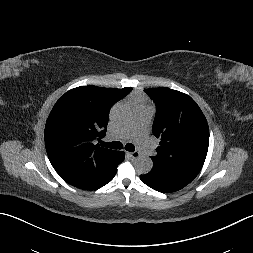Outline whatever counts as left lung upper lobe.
Masks as SVG:
<instances>
[{"label": "left lung upper lobe", "mask_w": 253, "mask_h": 253, "mask_svg": "<svg viewBox=\"0 0 253 253\" xmlns=\"http://www.w3.org/2000/svg\"><path fill=\"white\" fill-rule=\"evenodd\" d=\"M156 104L152 127L159 138L153 167L195 178L200 172L209 146L207 120L187 94L166 87L144 90Z\"/></svg>", "instance_id": "1"}]
</instances>
